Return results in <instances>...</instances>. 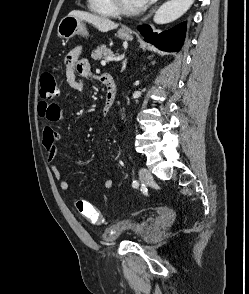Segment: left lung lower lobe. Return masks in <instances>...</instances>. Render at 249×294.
I'll use <instances>...</instances> for the list:
<instances>
[{
    "label": "left lung lower lobe",
    "instance_id": "1",
    "mask_svg": "<svg viewBox=\"0 0 249 294\" xmlns=\"http://www.w3.org/2000/svg\"><path fill=\"white\" fill-rule=\"evenodd\" d=\"M145 40L154 44L161 50L176 52L179 51L185 37L186 23H181L174 28L160 34L153 33L148 25L139 28Z\"/></svg>",
    "mask_w": 249,
    "mask_h": 294
}]
</instances>
